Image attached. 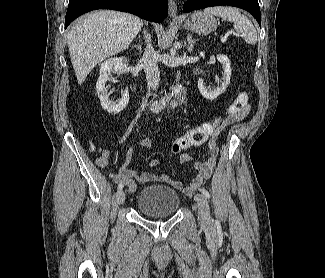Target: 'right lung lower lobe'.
<instances>
[{"label":"right lung lower lobe","mask_w":325,"mask_h":278,"mask_svg":"<svg viewBox=\"0 0 325 278\" xmlns=\"http://www.w3.org/2000/svg\"><path fill=\"white\" fill-rule=\"evenodd\" d=\"M168 0H70L65 28L80 15L95 9H113L161 23L168 15Z\"/></svg>","instance_id":"98d812e1"}]
</instances>
